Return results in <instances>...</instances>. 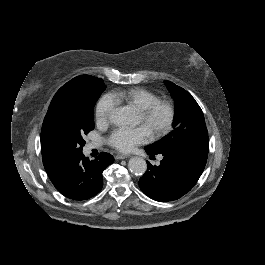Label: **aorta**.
<instances>
[{"label": "aorta", "mask_w": 265, "mask_h": 265, "mask_svg": "<svg viewBox=\"0 0 265 265\" xmlns=\"http://www.w3.org/2000/svg\"><path fill=\"white\" fill-rule=\"evenodd\" d=\"M110 121L115 125H128L130 124V117L127 109L119 107L113 110L110 115ZM129 170L136 176H141L147 169L146 161L141 157H132L128 163Z\"/></svg>", "instance_id": "1"}]
</instances>
